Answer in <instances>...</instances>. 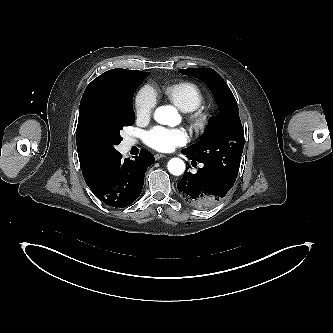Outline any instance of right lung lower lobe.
<instances>
[{"label": "right lung lower lobe", "mask_w": 333, "mask_h": 333, "mask_svg": "<svg viewBox=\"0 0 333 333\" xmlns=\"http://www.w3.org/2000/svg\"><path fill=\"white\" fill-rule=\"evenodd\" d=\"M134 158L122 160L118 152L98 178L88 185L100 201L112 207L124 208L138 198L145 172L153 164L154 156L143 149Z\"/></svg>", "instance_id": "right-lung-lower-lobe-1"}]
</instances>
